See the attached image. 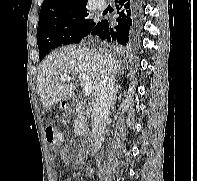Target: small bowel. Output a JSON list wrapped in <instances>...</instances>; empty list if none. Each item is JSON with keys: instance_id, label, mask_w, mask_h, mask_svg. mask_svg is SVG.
Here are the masks:
<instances>
[{"instance_id": "small-bowel-1", "label": "small bowel", "mask_w": 197, "mask_h": 181, "mask_svg": "<svg viewBox=\"0 0 197 181\" xmlns=\"http://www.w3.org/2000/svg\"><path fill=\"white\" fill-rule=\"evenodd\" d=\"M62 158L64 159V162L67 167L75 168L79 166L82 162L81 157L79 156H74L72 151L70 149H63L62 152ZM56 158L54 155L51 156V163L55 164Z\"/></svg>"}]
</instances>
